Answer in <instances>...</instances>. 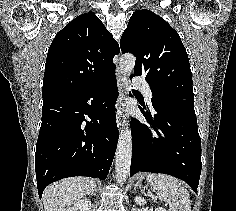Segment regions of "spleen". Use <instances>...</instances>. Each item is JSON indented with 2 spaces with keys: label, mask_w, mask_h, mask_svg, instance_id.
I'll return each instance as SVG.
<instances>
[{
  "label": "spleen",
  "mask_w": 236,
  "mask_h": 211,
  "mask_svg": "<svg viewBox=\"0 0 236 211\" xmlns=\"http://www.w3.org/2000/svg\"><path fill=\"white\" fill-rule=\"evenodd\" d=\"M147 182L158 192V195L170 207L171 211H191V200L188 191L180 181L170 175L148 174Z\"/></svg>",
  "instance_id": "3e777b00"
}]
</instances>
